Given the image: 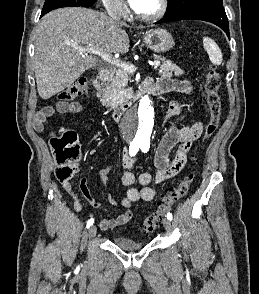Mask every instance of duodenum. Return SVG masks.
Returning <instances> with one entry per match:
<instances>
[{
  "label": "duodenum",
  "instance_id": "410a0bca",
  "mask_svg": "<svg viewBox=\"0 0 259 294\" xmlns=\"http://www.w3.org/2000/svg\"><path fill=\"white\" fill-rule=\"evenodd\" d=\"M111 69L109 67L101 68L97 74L91 80V89L93 92H97V89L100 87L102 82L108 77ZM153 90V82L150 78L144 79L138 88L135 90L132 100L129 103H125L124 105L118 107L114 110L113 116L115 120H119L126 110L131 106L132 102L140 100L146 93H149Z\"/></svg>",
  "mask_w": 259,
  "mask_h": 294
}]
</instances>
